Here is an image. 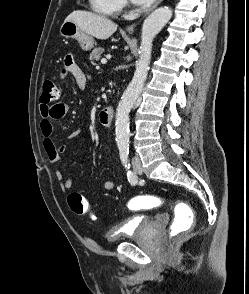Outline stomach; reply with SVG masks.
Segmentation results:
<instances>
[{"label": "stomach", "mask_w": 249, "mask_h": 294, "mask_svg": "<svg viewBox=\"0 0 249 294\" xmlns=\"http://www.w3.org/2000/svg\"><path fill=\"white\" fill-rule=\"evenodd\" d=\"M60 35L66 39H76L84 51H89L94 46V39L91 35L83 32L74 22L64 21L60 27Z\"/></svg>", "instance_id": "1"}]
</instances>
